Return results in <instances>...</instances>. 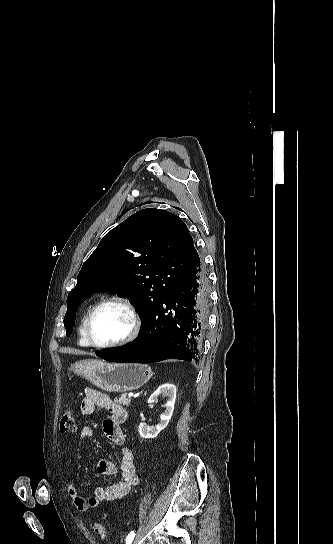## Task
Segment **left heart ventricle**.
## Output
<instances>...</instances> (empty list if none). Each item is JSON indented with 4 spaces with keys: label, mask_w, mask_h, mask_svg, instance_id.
Listing matches in <instances>:
<instances>
[{
    "label": "left heart ventricle",
    "mask_w": 333,
    "mask_h": 544,
    "mask_svg": "<svg viewBox=\"0 0 333 544\" xmlns=\"http://www.w3.org/2000/svg\"><path fill=\"white\" fill-rule=\"evenodd\" d=\"M131 325V316L123 305L108 303L94 316L91 334L97 343H112L124 338L129 333Z\"/></svg>",
    "instance_id": "b2bd125f"
}]
</instances>
